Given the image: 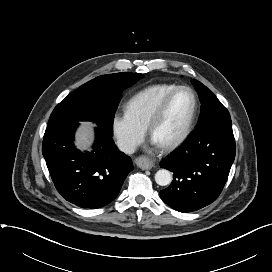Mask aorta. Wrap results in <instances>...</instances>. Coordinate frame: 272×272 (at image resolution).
<instances>
[{"mask_svg": "<svg viewBox=\"0 0 272 272\" xmlns=\"http://www.w3.org/2000/svg\"><path fill=\"white\" fill-rule=\"evenodd\" d=\"M172 181V175L170 171L166 169L158 170L155 174V182L160 186L169 185Z\"/></svg>", "mask_w": 272, "mask_h": 272, "instance_id": "762f6f07", "label": "aorta"}]
</instances>
